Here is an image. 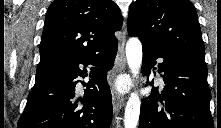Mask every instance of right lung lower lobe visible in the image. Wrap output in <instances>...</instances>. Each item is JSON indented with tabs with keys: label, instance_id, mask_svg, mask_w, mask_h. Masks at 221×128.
<instances>
[{
	"label": "right lung lower lobe",
	"instance_id": "98d812e1",
	"mask_svg": "<svg viewBox=\"0 0 221 128\" xmlns=\"http://www.w3.org/2000/svg\"><path fill=\"white\" fill-rule=\"evenodd\" d=\"M117 48L116 41L94 54L73 56L37 71L18 128H109L113 108L106 76ZM86 76L89 82L80 81L86 89L78 97L77 79Z\"/></svg>",
	"mask_w": 221,
	"mask_h": 128
}]
</instances>
